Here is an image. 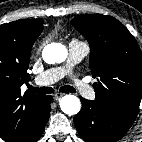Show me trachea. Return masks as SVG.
<instances>
[{"label": "trachea", "mask_w": 142, "mask_h": 142, "mask_svg": "<svg viewBox=\"0 0 142 142\" xmlns=\"http://www.w3.org/2000/svg\"><path fill=\"white\" fill-rule=\"evenodd\" d=\"M29 91L31 92H36L38 94H51L54 92V89L51 87H41V88H35L33 86H28ZM61 92H71V93H75L76 90L72 87V86H63L60 88Z\"/></svg>", "instance_id": "3493384b"}]
</instances>
